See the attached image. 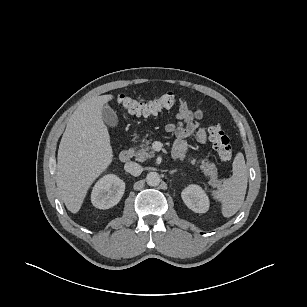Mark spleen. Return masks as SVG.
Listing matches in <instances>:
<instances>
[{
    "instance_id": "3e777b00",
    "label": "spleen",
    "mask_w": 307,
    "mask_h": 307,
    "mask_svg": "<svg viewBox=\"0 0 307 307\" xmlns=\"http://www.w3.org/2000/svg\"><path fill=\"white\" fill-rule=\"evenodd\" d=\"M232 169V177L225 180L220 188L211 191L212 196L222 203L224 217L233 216L245 199L248 174L244 155L241 152L236 154Z\"/></svg>"
}]
</instances>
